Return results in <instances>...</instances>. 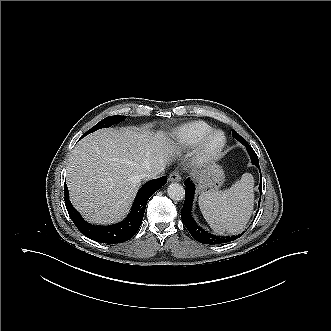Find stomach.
<instances>
[{"instance_id": "0dacf381", "label": "stomach", "mask_w": 331, "mask_h": 331, "mask_svg": "<svg viewBox=\"0 0 331 331\" xmlns=\"http://www.w3.org/2000/svg\"><path fill=\"white\" fill-rule=\"evenodd\" d=\"M195 176L199 193L219 190L225 179L223 169L215 163L208 164L198 171Z\"/></svg>"}]
</instances>
